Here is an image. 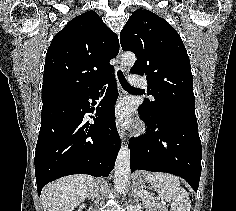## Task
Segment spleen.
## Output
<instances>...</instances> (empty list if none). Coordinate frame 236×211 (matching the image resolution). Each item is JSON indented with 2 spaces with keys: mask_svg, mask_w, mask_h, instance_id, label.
Instances as JSON below:
<instances>
[{
  "mask_svg": "<svg viewBox=\"0 0 236 211\" xmlns=\"http://www.w3.org/2000/svg\"><path fill=\"white\" fill-rule=\"evenodd\" d=\"M147 180L158 192L159 196L171 203L173 211H190L191 201L188 193L180 187V180L171 174L151 172Z\"/></svg>",
  "mask_w": 236,
  "mask_h": 211,
  "instance_id": "spleen-1",
  "label": "spleen"
}]
</instances>
